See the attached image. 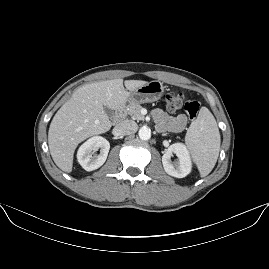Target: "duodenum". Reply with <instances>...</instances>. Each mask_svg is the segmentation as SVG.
<instances>
[{
    "mask_svg": "<svg viewBox=\"0 0 269 269\" xmlns=\"http://www.w3.org/2000/svg\"><path fill=\"white\" fill-rule=\"evenodd\" d=\"M125 113H126L125 107L122 105L119 106L115 111L114 122L116 124L120 123L124 119Z\"/></svg>",
    "mask_w": 269,
    "mask_h": 269,
    "instance_id": "1",
    "label": "duodenum"
}]
</instances>
